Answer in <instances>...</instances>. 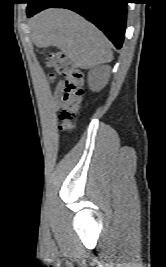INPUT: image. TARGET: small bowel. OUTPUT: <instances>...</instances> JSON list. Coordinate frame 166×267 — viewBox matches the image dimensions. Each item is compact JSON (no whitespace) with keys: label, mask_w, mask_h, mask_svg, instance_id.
Masks as SVG:
<instances>
[{"label":"small bowel","mask_w":166,"mask_h":267,"mask_svg":"<svg viewBox=\"0 0 166 267\" xmlns=\"http://www.w3.org/2000/svg\"><path fill=\"white\" fill-rule=\"evenodd\" d=\"M63 87H64V83H63V82H60V83L58 84V86H57V91H58V92L61 91V90L63 89Z\"/></svg>","instance_id":"obj_1"}]
</instances>
